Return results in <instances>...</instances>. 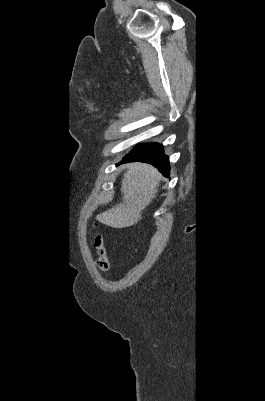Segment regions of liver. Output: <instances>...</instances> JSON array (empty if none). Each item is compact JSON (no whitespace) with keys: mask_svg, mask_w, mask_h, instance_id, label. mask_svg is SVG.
<instances>
[{"mask_svg":"<svg viewBox=\"0 0 265 401\" xmlns=\"http://www.w3.org/2000/svg\"><path fill=\"white\" fill-rule=\"evenodd\" d=\"M126 168L120 188L123 203L96 217L97 221L114 229L137 225L143 219L142 211L155 198L162 178L157 168L145 162H129Z\"/></svg>","mask_w":265,"mask_h":401,"instance_id":"liver-1","label":"liver"}]
</instances>
